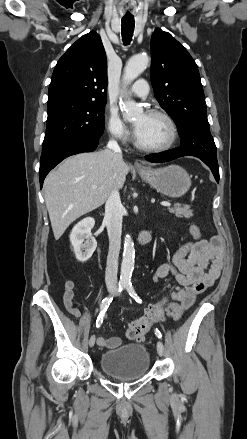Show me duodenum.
Masks as SVG:
<instances>
[{"mask_svg": "<svg viewBox=\"0 0 247 439\" xmlns=\"http://www.w3.org/2000/svg\"><path fill=\"white\" fill-rule=\"evenodd\" d=\"M152 238V232L150 229H145L143 231H141L138 236H137V243L140 246H145L147 245Z\"/></svg>", "mask_w": 247, "mask_h": 439, "instance_id": "1", "label": "duodenum"}]
</instances>
